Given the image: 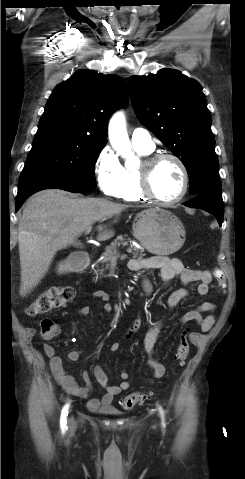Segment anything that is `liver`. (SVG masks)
<instances>
[{"label": "liver", "instance_id": "obj_1", "mask_svg": "<svg viewBox=\"0 0 245 479\" xmlns=\"http://www.w3.org/2000/svg\"><path fill=\"white\" fill-rule=\"evenodd\" d=\"M126 207L103 198H79L53 189L33 195L18 223L20 295L25 296L39 284L58 250L74 244L96 221L118 215ZM113 235L114 231L106 230L97 239L105 241Z\"/></svg>", "mask_w": 245, "mask_h": 479}]
</instances>
